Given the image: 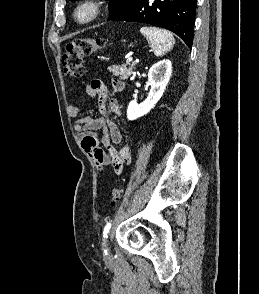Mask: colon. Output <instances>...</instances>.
Segmentation results:
<instances>
[{"label": "colon", "mask_w": 259, "mask_h": 294, "mask_svg": "<svg viewBox=\"0 0 259 294\" xmlns=\"http://www.w3.org/2000/svg\"><path fill=\"white\" fill-rule=\"evenodd\" d=\"M103 46V41L96 38H78L66 44L62 56L64 72L70 77H81L84 74L83 58L97 53ZM124 192L123 186H115L111 201L116 204Z\"/></svg>", "instance_id": "obj_1"}]
</instances>
